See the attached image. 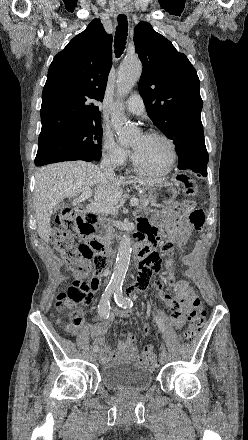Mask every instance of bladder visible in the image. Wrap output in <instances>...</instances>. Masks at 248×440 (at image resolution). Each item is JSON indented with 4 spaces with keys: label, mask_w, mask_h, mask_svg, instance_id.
<instances>
[{
    "label": "bladder",
    "mask_w": 248,
    "mask_h": 440,
    "mask_svg": "<svg viewBox=\"0 0 248 440\" xmlns=\"http://www.w3.org/2000/svg\"><path fill=\"white\" fill-rule=\"evenodd\" d=\"M99 377L105 387L121 392L146 390L153 381L149 367L121 359L103 364Z\"/></svg>",
    "instance_id": "obj_1"
}]
</instances>
